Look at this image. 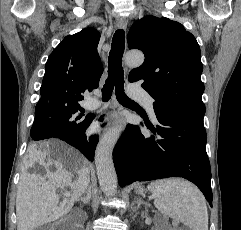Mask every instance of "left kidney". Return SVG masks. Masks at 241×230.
I'll return each instance as SVG.
<instances>
[{
  "label": "left kidney",
  "instance_id": "5707ae66",
  "mask_svg": "<svg viewBox=\"0 0 241 230\" xmlns=\"http://www.w3.org/2000/svg\"><path fill=\"white\" fill-rule=\"evenodd\" d=\"M157 230H168L167 228H160V229H157ZM170 230H177L176 228H173V229H170ZM178 230H182V229H178Z\"/></svg>",
  "mask_w": 241,
  "mask_h": 230
}]
</instances>
